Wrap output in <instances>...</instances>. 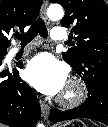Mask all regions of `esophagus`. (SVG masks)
<instances>
[{
  "mask_svg": "<svg viewBox=\"0 0 108 127\" xmlns=\"http://www.w3.org/2000/svg\"><path fill=\"white\" fill-rule=\"evenodd\" d=\"M47 7H48V0H43L42 7H41V16L45 20V22L49 24V20L46 15ZM40 106H41L42 117L45 120H48L49 113H50L49 105L46 104L44 101H40Z\"/></svg>",
  "mask_w": 108,
  "mask_h": 127,
  "instance_id": "esophagus-1",
  "label": "esophagus"
}]
</instances>
